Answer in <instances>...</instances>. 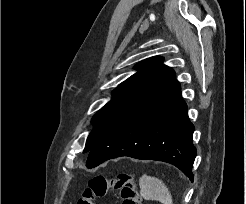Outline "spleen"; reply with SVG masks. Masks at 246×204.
<instances>
[{
    "label": "spleen",
    "instance_id": "3e777b00",
    "mask_svg": "<svg viewBox=\"0 0 246 204\" xmlns=\"http://www.w3.org/2000/svg\"><path fill=\"white\" fill-rule=\"evenodd\" d=\"M139 185L144 199L173 204L172 195L161 179L143 174L139 179Z\"/></svg>",
    "mask_w": 246,
    "mask_h": 204
}]
</instances>
